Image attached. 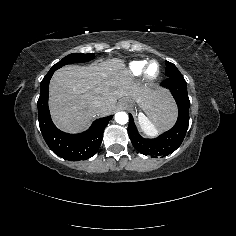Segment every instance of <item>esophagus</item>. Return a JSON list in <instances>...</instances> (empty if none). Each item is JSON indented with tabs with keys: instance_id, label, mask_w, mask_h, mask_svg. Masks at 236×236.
I'll return each instance as SVG.
<instances>
[{
	"instance_id": "34e87169",
	"label": "esophagus",
	"mask_w": 236,
	"mask_h": 236,
	"mask_svg": "<svg viewBox=\"0 0 236 236\" xmlns=\"http://www.w3.org/2000/svg\"><path fill=\"white\" fill-rule=\"evenodd\" d=\"M121 109H126L129 107L128 101L127 100H123L119 105H118Z\"/></svg>"
}]
</instances>
